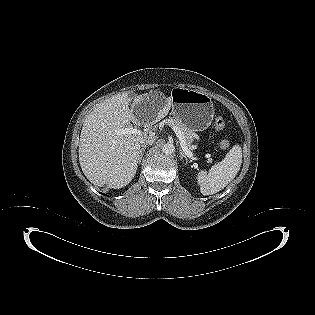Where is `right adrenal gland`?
Returning a JSON list of instances; mask_svg holds the SVG:
<instances>
[{
    "mask_svg": "<svg viewBox=\"0 0 315 315\" xmlns=\"http://www.w3.org/2000/svg\"><path fill=\"white\" fill-rule=\"evenodd\" d=\"M147 145H143L142 148L140 149V155H139V164L143 158V155H144V152H145V149H146Z\"/></svg>",
    "mask_w": 315,
    "mask_h": 315,
    "instance_id": "right-adrenal-gland-1",
    "label": "right adrenal gland"
}]
</instances>
